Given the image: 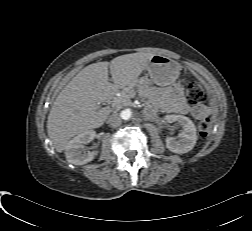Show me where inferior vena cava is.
I'll return each mask as SVG.
<instances>
[{
	"label": "inferior vena cava",
	"mask_w": 252,
	"mask_h": 231,
	"mask_svg": "<svg viewBox=\"0 0 252 231\" xmlns=\"http://www.w3.org/2000/svg\"><path fill=\"white\" fill-rule=\"evenodd\" d=\"M121 122H122V119L117 113L110 115L107 120V124L113 128L121 125Z\"/></svg>",
	"instance_id": "obj_1"
}]
</instances>
